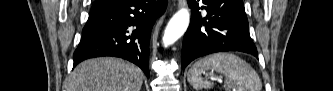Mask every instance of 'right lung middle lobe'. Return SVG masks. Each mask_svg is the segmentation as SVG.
<instances>
[{"instance_id":"dd1d6c3e","label":"right lung middle lobe","mask_w":333,"mask_h":91,"mask_svg":"<svg viewBox=\"0 0 333 91\" xmlns=\"http://www.w3.org/2000/svg\"><path fill=\"white\" fill-rule=\"evenodd\" d=\"M111 1H113V0H104V1L95 2V4H97V3H108V2H111Z\"/></svg>"}]
</instances>
